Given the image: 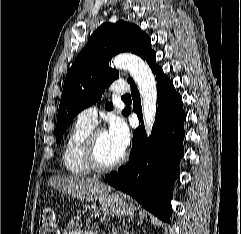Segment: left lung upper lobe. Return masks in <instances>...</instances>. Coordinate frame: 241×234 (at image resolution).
Listing matches in <instances>:
<instances>
[{
    "instance_id": "1",
    "label": "left lung upper lobe",
    "mask_w": 241,
    "mask_h": 234,
    "mask_svg": "<svg viewBox=\"0 0 241 234\" xmlns=\"http://www.w3.org/2000/svg\"><path fill=\"white\" fill-rule=\"evenodd\" d=\"M120 52H131L144 60L154 53L149 36L137 25L125 21L102 24L66 75L57 117V143L73 118L100 99L105 88L119 77V72L111 69L108 62ZM128 82L133 80L129 78ZM105 108L112 110L113 105L107 103ZM128 110L125 108L122 113L127 116Z\"/></svg>"
}]
</instances>
